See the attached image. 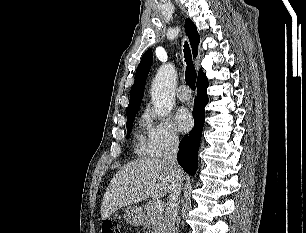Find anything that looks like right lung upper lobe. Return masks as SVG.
<instances>
[{"mask_svg":"<svg viewBox=\"0 0 306 233\" xmlns=\"http://www.w3.org/2000/svg\"><path fill=\"white\" fill-rule=\"evenodd\" d=\"M185 31L189 38L194 57L197 56V47L200 41V36L197 32L196 26L190 19L185 21ZM153 62L152 51L148 50L142 57L141 62L136 70L135 82L130 91V102L127 108V116L136 113L140 107L141 100L144 94L146 77L149 73ZM204 74L200 69L198 76Z\"/></svg>","mask_w":306,"mask_h":233,"instance_id":"obj_1","label":"right lung upper lobe"}]
</instances>
